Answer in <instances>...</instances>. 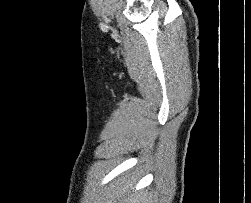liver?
Instances as JSON below:
<instances>
[{"label": "liver", "mask_w": 251, "mask_h": 203, "mask_svg": "<svg viewBox=\"0 0 251 203\" xmlns=\"http://www.w3.org/2000/svg\"><path fill=\"white\" fill-rule=\"evenodd\" d=\"M129 186L132 187L133 184H130ZM142 201H143L142 196H140L139 194H135V195L131 196L130 198L126 199V201L124 203H144Z\"/></svg>", "instance_id": "obj_1"}]
</instances>
